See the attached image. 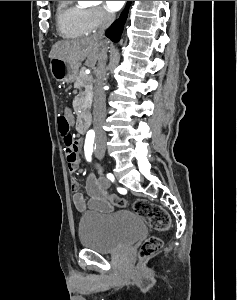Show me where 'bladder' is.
I'll return each instance as SVG.
<instances>
[{
  "label": "bladder",
  "instance_id": "bladder-1",
  "mask_svg": "<svg viewBox=\"0 0 237 300\" xmlns=\"http://www.w3.org/2000/svg\"><path fill=\"white\" fill-rule=\"evenodd\" d=\"M146 231L140 215L120 210L109 215H88L78 227L82 246L102 254L120 252L132 245Z\"/></svg>",
  "mask_w": 237,
  "mask_h": 300
}]
</instances>
